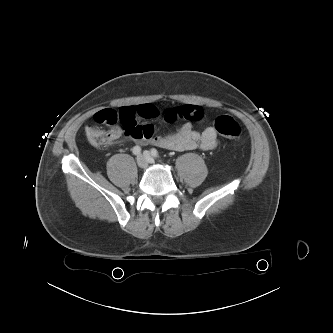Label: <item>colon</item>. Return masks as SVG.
Masks as SVG:
<instances>
[{"mask_svg":"<svg viewBox=\"0 0 333 333\" xmlns=\"http://www.w3.org/2000/svg\"><path fill=\"white\" fill-rule=\"evenodd\" d=\"M94 121L100 125H106L110 129L104 130L100 127L89 125L85 129L87 140L94 147H102L111 143V134L114 131L132 133L136 130L138 123L132 108L120 110L104 109L94 115ZM215 130L222 136L237 139L242 134L239 123L227 115L218 116L214 122Z\"/></svg>","mask_w":333,"mask_h":333,"instance_id":"1","label":"colon"}]
</instances>
